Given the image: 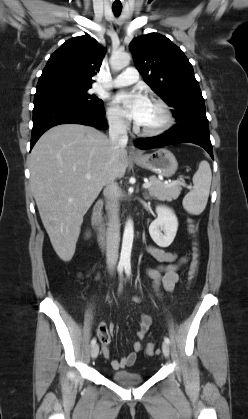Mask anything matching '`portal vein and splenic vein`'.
<instances>
[{"label":"portal vein and splenic vein","mask_w":248,"mask_h":419,"mask_svg":"<svg viewBox=\"0 0 248 419\" xmlns=\"http://www.w3.org/2000/svg\"><path fill=\"white\" fill-rule=\"evenodd\" d=\"M87 179H90V176H87ZM170 184H176V182H172V183H170ZM179 184L184 185V186H187L185 182H179ZM151 185H152V183L147 181V182H145V183L143 184V188L147 189V188H149ZM187 187H188V186H187Z\"/></svg>","instance_id":"portal-vein-and-splenic-vein-1"}]
</instances>
